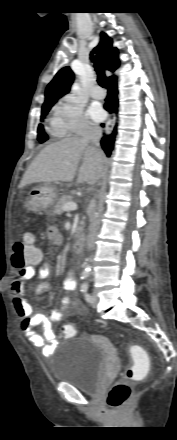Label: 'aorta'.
Returning <instances> with one entry per match:
<instances>
[{
    "label": "aorta",
    "mask_w": 177,
    "mask_h": 440,
    "mask_svg": "<svg viewBox=\"0 0 177 440\" xmlns=\"http://www.w3.org/2000/svg\"><path fill=\"white\" fill-rule=\"evenodd\" d=\"M72 90L73 91L79 90V85L78 84H74L73 87H72ZM83 268H84V273H86V274H88L91 271L90 265L87 262H85L83 264Z\"/></svg>",
    "instance_id": "aorta-1"
}]
</instances>
